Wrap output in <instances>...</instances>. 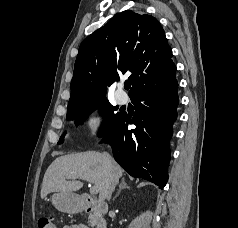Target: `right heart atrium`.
<instances>
[{"label":"right heart atrium","mask_w":238,"mask_h":228,"mask_svg":"<svg viewBox=\"0 0 238 228\" xmlns=\"http://www.w3.org/2000/svg\"><path fill=\"white\" fill-rule=\"evenodd\" d=\"M84 127L87 134L91 137L98 135L100 130V119L98 115L92 113L85 118Z\"/></svg>","instance_id":"obj_1"}]
</instances>
